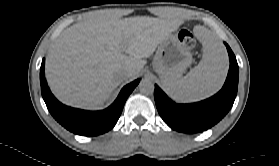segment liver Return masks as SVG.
I'll return each instance as SVG.
<instances>
[{
    "mask_svg": "<svg viewBox=\"0 0 279 166\" xmlns=\"http://www.w3.org/2000/svg\"><path fill=\"white\" fill-rule=\"evenodd\" d=\"M181 24L173 12L163 19L96 14L65 29L52 44L45 65L47 82L63 103L98 109L121 83L117 71L129 67L128 78L136 76L145 58Z\"/></svg>",
    "mask_w": 279,
    "mask_h": 166,
    "instance_id": "1",
    "label": "liver"
}]
</instances>
